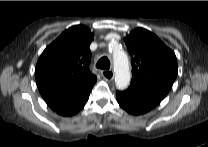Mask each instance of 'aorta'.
Listing matches in <instances>:
<instances>
[{"label": "aorta", "instance_id": "aorta-1", "mask_svg": "<svg viewBox=\"0 0 208 147\" xmlns=\"http://www.w3.org/2000/svg\"><path fill=\"white\" fill-rule=\"evenodd\" d=\"M113 63L116 87L120 90L127 88L131 79L127 54L116 47L113 51Z\"/></svg>", "mask_w": 208, "mask_h": 147}]
</instances>
